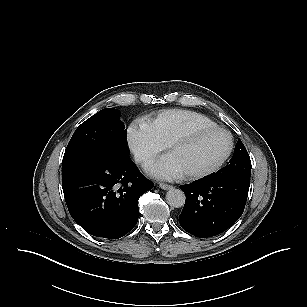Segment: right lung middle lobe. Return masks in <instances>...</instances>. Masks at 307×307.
<instances>
[{
  "mask_svg": "<svg viewBox=\"0 0 307 307\" xmlns=\"http://www.w3.org/2000/svg\"><path fill=\"white\" fill-rule=\"evenodd\" d=\"M126 133L118 110L99 111L76 129L65 150L62 166L103 152L128 156Z\"/></svg>",
  "mask_w": 307,
  "mask_h": 307,
  "instance_id": "dd1d6c3e",
  "label": "right lung middle lobe"
}]
</instances>
